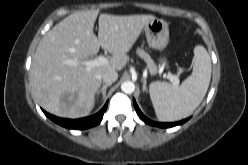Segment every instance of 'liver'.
Masks as SVG:
<instances>
[{"mask_svg": "<svg viewBox=\"0 0 248 165\" xmlns=\"http://www.w3.org/2000/svg\"><path fill=\"white\" fill-rule=\"evenodd\" d=\"M99 10L75 12L56 24L41 39L30 69L32 94L47 112L80 118L93 109L102 74L121 70L153 15L100 14L98 37L93 33ZM100 47L112 54L108 63L87 71L84 61Z\"/></svg>", "mask_w": 248, "mask_h": 165, "instance_id": "1", "label": "liver"}]
</instances>
